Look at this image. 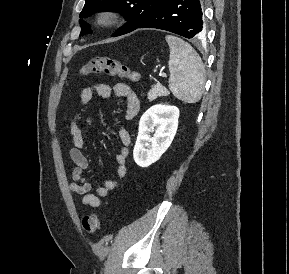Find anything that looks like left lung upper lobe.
Masks as SVG:
<instances>
[{"mask_svg":"<svg viewBox=\"0 0 289 274\" xmlns=\"http://www.w3.org/2000/svg\"><path fill=\"white\" fill-rule=\"evenodd\" d=\"M165 0H86L80 18L102 11L121 13L127 20L113 36H120L135 30L146 21ZM80 36L91 33L90 26L80 20Z\"/></svg>","mask_w":289,"mask_h":274,"instance_id":"1","label":"left lung upper lobe"}]
</instances>
